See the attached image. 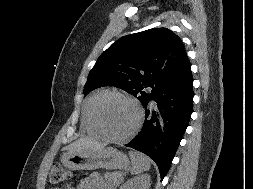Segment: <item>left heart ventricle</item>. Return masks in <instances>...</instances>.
I'll return each mask as SVG.
<instances>
[{
    "mask_svg": "<svg viewBox=\"0 0 253 189\" xmlns=\"http://www.w3.org/2000/svg\"><path fill=\"white\" fill-rule=\"evenodd\" d=\"M98 117L104 128L114 136L126 135L136 123V110L128 102L108 97L98 105Z\"/></svg>",
    "mask_w": 253,
    "mask_h": 189,
    "instance_id": "1",
    "label": "left heart ventricle"
}]
</instances>
